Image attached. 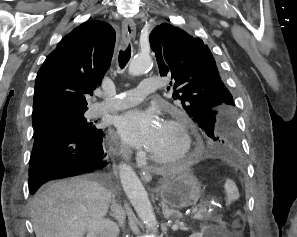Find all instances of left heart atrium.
<instances>
[{
    "label": "left heart atrium",
    "instance_id": "39dd6f15",
    "mask_svg": "<svg viewBox=\"0 0 297 237\" xmlns=\"http://www.w3.org/2000/svg\"><path fill=\"white\" fill-rule=\"evenodd\" d=\"M162 122L153 110L132 109L115 120L118 134L130 145L149 151L155 144Z\"/></svg>",
    "mask_w": 297,
    "mask_h": 237
}]
</instances>
